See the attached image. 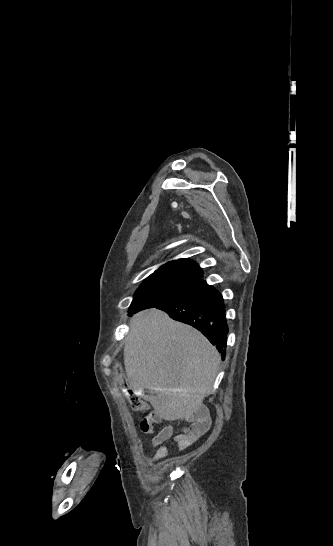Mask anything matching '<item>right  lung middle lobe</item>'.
<instances>
[{
  "label": "right lung middle lobe",
  "mask_w": 333,
  "mask_h": 546,
  "mask_svg": "<svg viewBox=\"0 0 333 546\" xmlns=\"http://www.w3.org/2000/svg\"><path fill=\"white\" fill-rule=\"evenodd\" d=\"M202 281L166 275H150L136 291L129 311L155 307L195 291Z\"/></svg>",
  "instance_id": "obj_1"
}]
</instances>
